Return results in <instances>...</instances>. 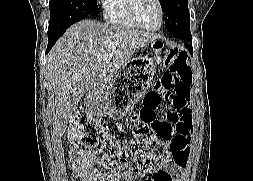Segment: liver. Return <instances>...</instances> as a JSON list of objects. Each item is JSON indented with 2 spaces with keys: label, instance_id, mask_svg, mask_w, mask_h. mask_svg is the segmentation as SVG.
<instances>
[{
  "label": "liver",
  "instance_id": "liver-1",
  "mask_svg": "<svg viewBox=\"0 0 253 181\" xmlns=\"http://www.w3.org/2000/svg\"><path fill=\"white\" fill-rule=\"evenodd\" d=\"M157 38V34L95 20L72 25L47 55L48 80L55 93L56 133L60 137L65 133L86 92L110 83L135 51Z\"/></svg>",
  "mask_w": 253,
  "mask_h": 181
}]
</instances>
